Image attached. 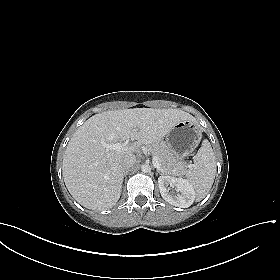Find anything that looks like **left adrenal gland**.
<instances>
[{
  "mask_svg": "<svg viewBox=\"0 0 280 280\" xmlns=\"http://www.w3.org/2000/svg\"><path fill=\"white\" fill-rule=\"evenodd\" d=\"M158 173H159V174H161V175H163V173H162V172H160V171H158V170H157V173H156V174H158Z\"/></svg>",
  "mask_w": 280,
  "mask_h": 280,
  "instance_id": "obj_1",
  "label": "left adrenal gland"
}]
</instances>
